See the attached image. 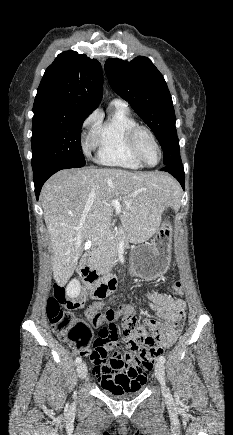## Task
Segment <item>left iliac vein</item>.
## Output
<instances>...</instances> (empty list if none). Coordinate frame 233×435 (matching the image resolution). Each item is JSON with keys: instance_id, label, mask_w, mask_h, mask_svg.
Masks as SVG:
<instances>
[{"instance_id": "left-iliac-vein-1", "label": "left iliac vein", "mask_w": 233, "mask_h": 435, "mask_svg": "<svg viewBox=\"0 0 233 435\" xmlns=\"http://www.w3.org/2000/svg\"><path fill=\"white\" fill-rule=\"evenodd\" d=\"M155 375L161 385L162 392L167 393L165 379H164V364L161 361H158L155 365Z\"/></svg>"}]
</instances>
